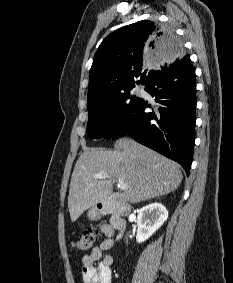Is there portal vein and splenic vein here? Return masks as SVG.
I'll list each match as a JSON object with an SVG mask.
<instances>
[{"label":"portal vein and splenic vein","mask_w":233,"mask_h":283,"mask_svg":"<svg viewBox=\"0 0 233 283\" xmlns=\"http://www.w3.org/2000/svg\"><path fill=\"white\" fill-rule=\"evenodd\" d=\"M107 176H108L107 173L101 172V173L94 175V178L95 179H101V178H106ZM119 187H120L121 190H126L128 188V185L126 183H124L123 181L119 180Z\"/></svg>","instance_id":"18ae733b"}]
</instances>
